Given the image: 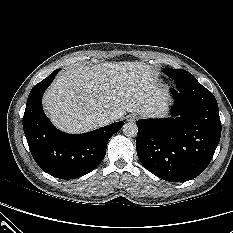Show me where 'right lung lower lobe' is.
Masks as SVG:
<instances>
[{
  "label": "right lung lower lobe",
  "mask_w": 233,
  "mask_h": 233,
  "mask_svg": "<svg viewBox=\"0 0 233 233\" xmlns=\"http://www.w3.org/2000/svg\"><path fill=\"white\" fill-rule=\"evenodd\" d=\"M59 70L53 71L32 88L23 116V128L31 154L39 167L56 178L74 179L88 174L101 163L108 140L122 128L124 122L76 135L56 129L43 112L42 96Z\"/></svg>",
  "instance_id": "98d812e1"
}]
</instances>
